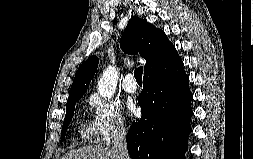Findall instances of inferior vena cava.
I'll return each instance as SVG.
<instances>
[{
  "instance_id": "obj_1",
  "label": "inferior vena cava",
  "mask_w": 253,
  "mask_h": 159,
  "mask_svg": "<svg viewBox=\"0 0 253 159\" xmlns=\"http://www.w3.org/2000/svg\"><path fill=\"white\" fill-rule=\"evenodd\" d=\"M113 145V149L118 154L119 159H130L126 145V130L123 125L117 126L114 133Z\"/></svg>"
}]
</instances>
